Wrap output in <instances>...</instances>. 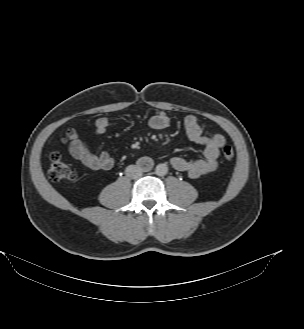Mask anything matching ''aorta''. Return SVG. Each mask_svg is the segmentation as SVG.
Instances as JSON below:
<instances>
[{
    "mask_svg": "<svg viewBox=\"0 0 304 329\" xmlns=\"http://www.w3.org/2000/svg\"><path fill=\"white\" fill-rule=\"evenodd\" d=\"M155 172L159 176H164L168 172V167H167V165L165 163L158 164L156 166Z\"/></svg>",
    "mask_w": 304,
    "mask_h": 329,
    "instance_id": "1",
    "label": "aorta"
}]
</instances>
